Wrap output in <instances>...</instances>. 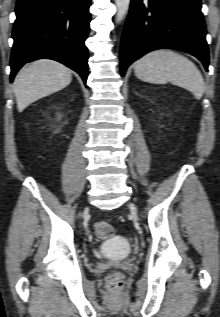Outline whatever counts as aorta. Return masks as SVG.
Returning a JSON list of instances; mask_svg holds the SVG:
<instances>
[{
	"label": "aorta",
	"mask_w": 220,
	"mask_h": 317,
	"mask_svg": "<svg viewBox=\"0 0 220 317\" xmlns=\"http://www.w3.org/2000/svg\"><path fill=\"white\" fill-rule=\"evenodd\" d=\"M117 7L116 22L120 23L129 9L130 0H115Z\"/></svg>",
	"instance_id": "762f6f07"
}]
</instances>
